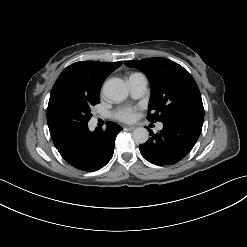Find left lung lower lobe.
<instances>
[{
  "label": "left lung lower lobe",
  "instance_id": "0a47b994",
  "mask_svg": "<svg viewBox=\"0 0 247 247\" xmlns=\"http://www.w3.org/2000/svg\"><path fill=\"white\" fill-rule=\"evenodd\" d=\"M163 123V129L140 145L142 156L158 166L175 164L194 147L201 133L203 122L190 119H170Z\"/></svg>",
  "mask_w": 247,
  "mask_h": 247
}]
</instances>
